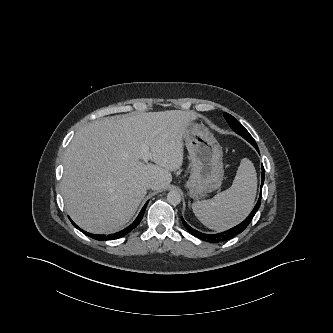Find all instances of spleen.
<instances>
[{
    "label": "spleen",
    "mask_w": 333,
    "mask_h": 333,
    "mask_svg": "<svg viewBox=\"0 0 333 333\" xmlns=\"http://www.w3.org/2000/svg\"><path fill=\"white\" fill-rule=\"evenodd\" d=\"M257 190L256 171L244 158L232 186L212 199L192 204L195 216L208 228L222 231L240 223L252 210Z\"/></svg>",
    "instance_id": "obj_1"
}]
</instances>
